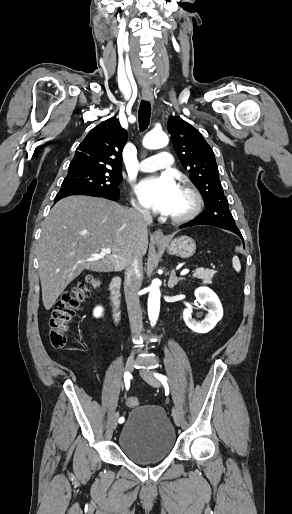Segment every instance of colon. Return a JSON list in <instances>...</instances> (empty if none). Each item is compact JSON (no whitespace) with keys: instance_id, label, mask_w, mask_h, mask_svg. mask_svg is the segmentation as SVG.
<instances>
[{"instance_id":"colon-1","label":"colon","mask_w":292,"mask_h":514,"mask_svg":"<svg viewBox=\"0 0 292 514\" xmlns=\"http://www.w3.org/2000/svg\"><path fill=\"white\" fill-rule=\"evenodd\" d=\"M96 286V279L89 276L86 282H79L65 291L55 303V309L49 319V338L54 349H62L67 342V332L76 308L89 296L91 289ZM130 408H138L136 397L126 398Z\"/></svg>"}]
</instances>
